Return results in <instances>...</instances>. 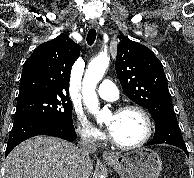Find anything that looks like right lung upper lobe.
Returning <instances> with one entry per match:
<instances>
[{
  "instance_id": "obj_1",
  "label": "right lung upper lobe",
  "mask_w": 194,
  "mask_h": 178,
  "mask_svg": "<svg viewBox=\"0 0 194 178\" xmlns=\"http://www.w3.org/2000/svg\"><path fill=\"white\" fill-rule=\"evenodd\" d=\"M79 54L80 46L67 34L39 45L24 63L17 101L68 96L70 71Z\"/></svg>"
}]
</instances>
